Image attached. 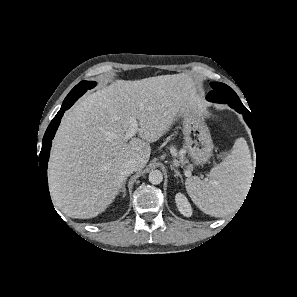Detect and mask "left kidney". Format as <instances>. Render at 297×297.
I'll use <instances>...</instances> for the list:
<instances>
[{"instance_id":"5707ae66","label":"left kidney","mask_w":297,"mask_h":297,"mask_svg":"<svg viewBox=\"0 0 297 297\" xmlns=\"http://www.w3.org/2000/svg\"><path fill=\"white\" fill-rule=\"evenodd\" d=\"M175 202L180 213L186 217L192 215V208L185 195L178 193L175 196Z\"/></svg>"}]
</instances>
